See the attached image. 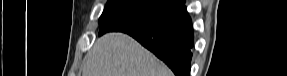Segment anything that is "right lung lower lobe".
Wrapping results in <instances>:
<instances>
[{
    "label": "right lung lower lobe",
    "instance_id": "obj_1",
    "mask_svg": "<svg viewBox=\"0 0 287 76\" xmlns=\"http://www.w3.org/2000/svg\"><path fill=\"white\" fill-rule=\"evenodd\" d=\"M127 34L163 60L176 76H189L194 37L184 0L148 27Z\"/></svg>",
    "mask_w": 287,
    "mask_h": 76
}]
</instances>
